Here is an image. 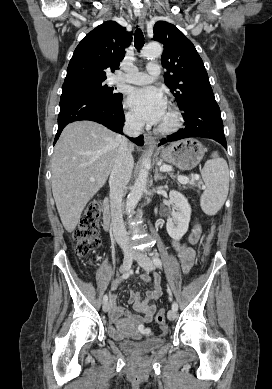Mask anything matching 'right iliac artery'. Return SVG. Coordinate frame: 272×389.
I'll return each instance as SVG.
<instances>
[{
	"label": "right iliac artery",
	"mask_w": 272,
	"mask_h": 389,
	"mask_svg": "<svg viewBox=\"0 0 272 389\" xmlns=\"http://www.w3.org/2000/svg\"><path fill=\"white\" fill-rule=\"evenodd\" d=\"M129 276H130V273H129V272L124 273L122 276H120V277L118 278V281H122V280H124V279H127ZM107 300H108V296H107V294H105L104 297H103V302L105 303V302H107Z\"/></svg>",
	"instance_id": "1"
}]
</instances>
